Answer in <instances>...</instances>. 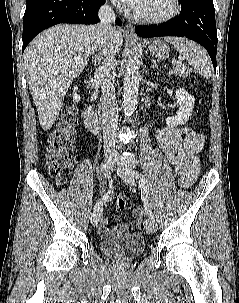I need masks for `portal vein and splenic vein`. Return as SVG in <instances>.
Returning a JSON list of instances; mask_svg holds the SVG:
<instances>
[{"instance_id":"portal-vein-and-splenic-vein-1","label":"portal vein and splenic vein","mask_w":239,"mask_h":303,"mask_svg":"<svg viewBox=\"0 0 239 303\" xmlns=\"http://www.w3.org/2000/svg\"><path fill=\"white\" fill-rule=\"evenodd\" d=\"M179 63H180V62L175 63V64H174V67H177V66L179 65ZM174 67H173V68H174Z\"/></svg>"}]
</instances>
